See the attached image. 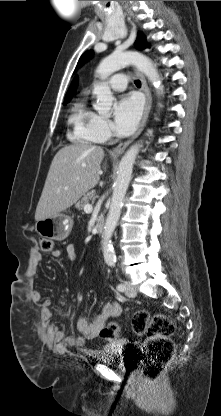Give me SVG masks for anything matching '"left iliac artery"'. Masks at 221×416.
I'll return each mask as SVG.
<instances>
[{
  "instance_id": "44dca946",
  "label": "left iliac artery",
  "mask_w": 221,
  "mask_h": 416,
  "mask_svg": "<svg viewBox=\"0 0 221 416\" xmlns=\"http://www.w3.org/2000/svg\"><path fill=\"white\" fill-rule=\"evenodd\" d=\"M125 289H126V287H125L124 284H122V283L118 284V286H117L118 291L123 292Z\"/></svg>"
}]
</instances>
